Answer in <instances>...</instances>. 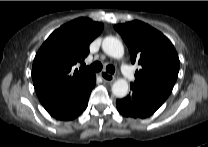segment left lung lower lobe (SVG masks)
I'll list each match as a JSON object with an SVG mask.
<instances>
[{
    "instance_id": "left-lung-lower-lobe-1",
    "label": "left lung lower lobe",
    "mask_w": 208,
    "mask_h": 147,
    "mask_svg": "<svg viewBox=\"0 0 208 147\" xmlns=\"http://www.w3.org/2000/svg\"><path fill=\"white\" fill-rule=\"evenodd\" d=\"M131 93L116 100L118 111L125 117L146 118L152 115L166 100L163 95L143 87L130 85Z\"/></svg>"
}]
</instances>
